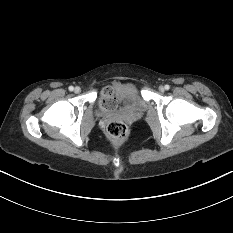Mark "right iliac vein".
I'll list each match as a JSON object with an SVG mask.
<instances>
[{"mask_svg": "<svg viewBox=\"0 0 233 233\" xmlns=\"http://www.w3.org/2000/svg\"><path fill=\"white\" fill-rule=\"evenodd\" d=\"M74 92H75L76 94L80 93V92H81V88L78 87V86L75 87Z\"/></svg>", "mask_w": 233, "mask_h": 233, "instance_id": "obj_1", "label": "right iliac vein"}]
</instances>
